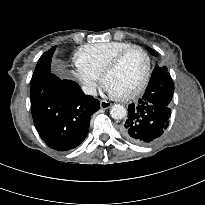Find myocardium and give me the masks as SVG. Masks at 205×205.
I'll return each mask as SVG.
<instances>
[{
    "label": "myocardium",
    "mask_w": 205,
    "mask_h": 205,
    "mask_svg": "<svg viewBox=\"0 0 205 205\" xmlns=\"http://www.w3.org/2000/svg\"><path fill=\"white\" fill-rule=\"evenodd\" d=\"M132 51H139L144 56L145 62H146V68H145L144 76H143L141 82L134 90H132L131 92H129L125 95H115L120 100H130V99L137 97L146 88V86L150 80V77H151L152 61H151L150 55L148 54V52L144 48L134 45V46H130L129 48L124 49L123 51L118 53L108 63V65L105 67V69L101 75V81H102L103 86L106 87L107 77L119 66V64L121 63L123 58Z\"/></svg>",
    "instance_id": "myocardium-1"
}]
</instances>
